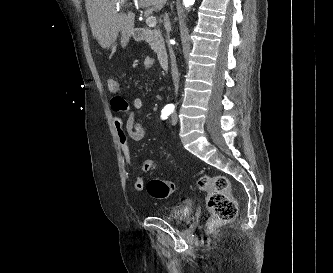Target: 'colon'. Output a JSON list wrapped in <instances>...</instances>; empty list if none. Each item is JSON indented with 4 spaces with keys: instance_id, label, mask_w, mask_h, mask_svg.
Here are the masks:
<instances>
[{
    "instance_id": "colon-1",
    "label": "colon",
    "mask_w": 333,
    "mask_h": 273,
    "mask_svg": "<svg viewBox=\"0 0 333 273\" xmlns=\"http://www.w3.org/2000/svg\"><path fill=\"white\" fill-rule=\"evenodd\" d=\"M107 88L115 96L119 95L120 85L117 80L108 79ZM154 167V160L142 161L144 172H150ZM197 187L207 194V205L211 214L210 227L230 222L236 217L237 203L231 194L229 180L225 176H203L197 181ZM147 191L154 198H168L174 192V184L168 180L154 178L148 182Z\"/></svg>"
}]
</instances>
